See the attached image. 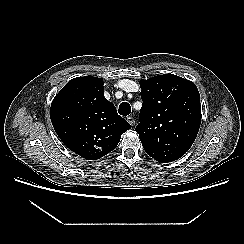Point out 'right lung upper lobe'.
Segmentation results:
<instances>
[{
  "label": "right lung upper lobe",
  "mask_w": 244,
  "mask_h": 244,
  "mask_svg": "<svg viewBox=\"0 0 244 244\" xmlns=\"http://www.w3.org/2000/svg\"><path fill=\"white\" fill-rule=\"evenodd\" d=\"M103 80H70L54 97L50 117L61 141L79 156L94 160L114 150L131 126L104 97Z\"/></svg>",
  "instance_id": "obj_1"
}]
</instances>
